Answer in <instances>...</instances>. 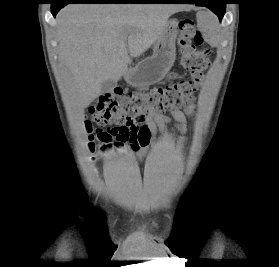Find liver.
I'll return each mask as SVG.
<instances>
[{"label": "liver", "instance_id": "liver-1", "mask_svg": "<svg viewBox=\"0 0 279 267\" xmlns=\"http://www.w3.org/2000/svg\"><path fill=\"white\" fill-rule=\"evenodd\" d=\"M182 6L171 4H71L57 17L60 59L70 70L80 108L116 82L162 35L169 17Z\"/></svg>", "mask_w": 279, "mask_h": 267}]
</instances>
